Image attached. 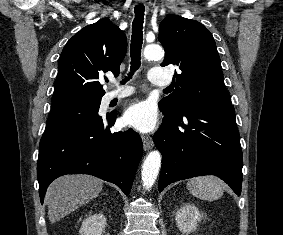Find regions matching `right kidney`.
<instances>
[{
	"instance_id": "ca27d5eb",
	"label": "right kidney",
	"mask_w": 283,
	"mask_h": 235,
	"mask_svg": "<svg viewBox=\"0 0 283 235\" xmlns=\"http://www.w3.org/2000/svg\"><path fill=\"white\" fill-rule=\"evenodd\" d=\"M106 226V218L102 213L85 218L80 228V235H102Z\"/></svg>"
}]
</instances>
